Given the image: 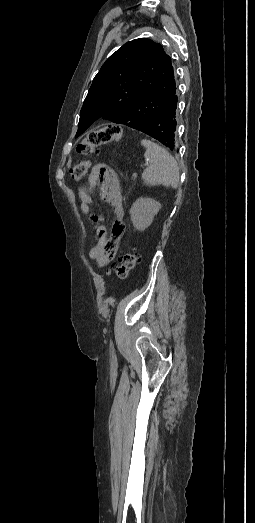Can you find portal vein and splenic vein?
<instances>
[{"label":"portal vein and splenic vein","instance_id":"1","mask_svg":"<svg viewBox=\"0 0 255 523\" xmlns=\"http://www.w3.org/2000/svg\"><path fill=\"white\" fill-rule=\"evenodd\" d=\"M141 165H142L143 167H146V166L148 165V162H147L146 160H143V161L141 162Z\"/></svg>","mask_w":255,"mask_h":523}]
</instances>
